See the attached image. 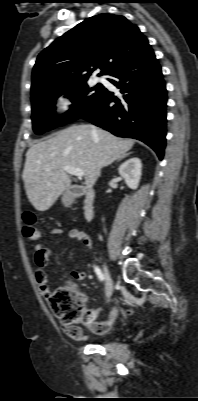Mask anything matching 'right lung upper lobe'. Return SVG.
Returning a JSON list of instances; mask_svg holds the SVG:
<instances>
[{
    "label": "right lung upper lobe",
    "mask_w": 198,
    "mask_h": 401,
    "mask_svg": "<svg viewBox=\"0 0 198 401\" xmlns=\"http://www.w3.org/2000/svg\"><path fill=\"white\" fill-rule=\"evenodd\" d=\"M139 28L124 16L90 17L56 39L38 56L31 100L41 93L87 81L92 72L110 75L148 46Z\"/></svg>",
    "instance_id": "1"
}]
</instances>
